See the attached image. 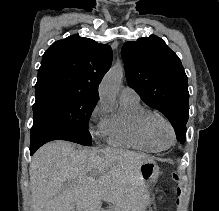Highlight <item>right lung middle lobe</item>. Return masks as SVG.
<instances>
[{
    "mask_svg": "<svg viewBox=\"0 0 219 211\" xmlns=\"http://www.w3.org/2000/svg\"><path fill=\"white\" fill-rule=\"evenodd\" d=\"M35 95L31 130L37 128L63 130L78 135L81 138V145H92L88 122L97 104L96 99L64 91H45Z\"/></svg>",
    "mask_w": 219,
    "mask_h": 211,
    "instance_id": "right-lung-middle-lobe-1",
    "label": "right lung middle lobe"
}]
</instances>
